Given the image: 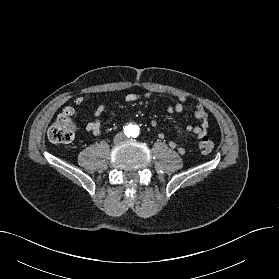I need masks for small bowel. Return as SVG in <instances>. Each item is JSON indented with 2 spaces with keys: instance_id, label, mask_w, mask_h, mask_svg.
Returning <instances> with one entry per match:
<instances>
[{
  "instance_id": "c3829d8e",
  "label": "small bowel",
  "mask_w": 279,
  "mask_h": 279,
  "mask_svg": "<svg viewBox=\"0 0 279 279\" xmlns=\"http://www.w3.org/2000/svg\"><path fill=\"white\" fill-rule=\"evenodd\" d=\"M151 95L149 93H146L144 95H138L135 93H130L126 95L125 100L126 102H136L142 98L148 99ZM186 101V97L180 96L177 101H175L171 106H169L168 110L170 113H178L183 110L184 102ZM105 111L104 105H99L95 111H94V117L95 119L88 122L86 125V131L98 136L101 134V124L99 121V118L103 115ZM194 115L195 118L198 121V125H189L187 126L186 130L189 134L196 136L198 139H200L203 136H206L207 129L209 126V120H208V114L205 110V108L201 104H197L194 109ZM152 126L156 125V122L153 121ZM170 147L176 149L179 153L184 154L186 152V148L183 146H180L176 144L175 142L169 143Z\"/></svg>"
}]
</instances>
